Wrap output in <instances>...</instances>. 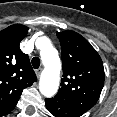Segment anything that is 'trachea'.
I'll list each match as a JSON object with an SVG mask.
<instances>
[{
	"label": "trachea",
	"instance_id": "obj_1",
	"mask_svg": "<svg viewBox=\"0 0 117 117\" xmlns=\"http://www.w3.org/2000/svg\"><path fill=\"white\" fill-rule=\"evenodd\" d=\"M32 65L35 69L40 67V59L38 57L32 58Z\"/></svg>",
	"mask_w": 117,
	"mask_h": 117
}]
</instances>
